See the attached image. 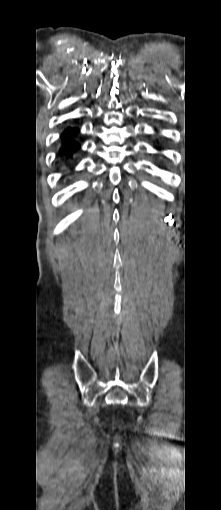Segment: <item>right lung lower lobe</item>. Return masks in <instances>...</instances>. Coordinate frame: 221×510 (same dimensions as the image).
<instances>
[{
  "label": "right lung lower lobe",
  "mask_w": 221,
  "mask_h": 510,
  "mask_svg": "<svg viewBox=\"0 0 221 510\" xmlns=\"http://www.w3.org/2000/svg\"><path fill=\"white\" fill-rule=\"evenodd\" d=\"M78 133V129H67L63 132V146L60 150V154L64 156H70L75 150L79 148L78 143L73 140V137Z\"/></svg>",
  "instance_id": "98d812e1"
}]
</instances>
